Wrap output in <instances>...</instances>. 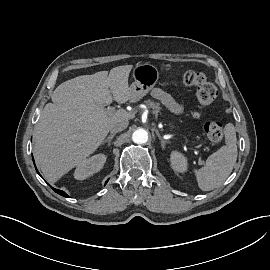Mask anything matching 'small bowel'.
Here are the masks:
<instances>
[{
	"instance_id": "c3829d8e",
	"label": "small bowel",
	"mask_w": 270,
	"mask_h": 270,
	"mask_svg": "<svg viewBox=\"0 0 270 270\" xmlns=\"http://www.w3.org/2000/svg\"><path fill=\"white\" fill-rule=\"evenodd\" d=\"M151 95L153 98L160 100L173 112L181 113L183 111L182 106L176 101L172 100L161 88H153L151 91Z\"/></svg>"
}]
</instances>
